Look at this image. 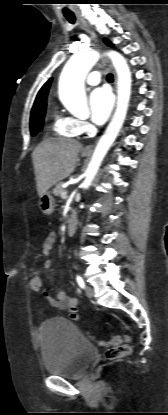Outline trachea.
<instances>
[{
  "instance_id": "obj_1",
  "label": "trachea",
  "mask_w": 168,
  "mask_h": 415,
  "mask_svg": "<svg viewBox=\"0 0 168 415\" xmlns=\"http://www.w3.org/2000/svg\"><path fill=\"white\" fill-rule=\"evenodd\" d=\"M65 17H66V19H67L70 23H72V24H74V23H75V21H76V18H75V16H74V15H65ZM107 80H108V81H110V82H112V81H113V76H112V74H108V75H107Z\"/></svg>"
}]
</instances>
